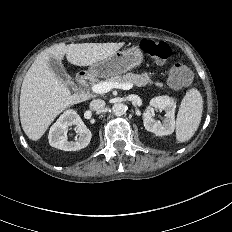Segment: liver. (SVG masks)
I'll return each mask as SVG.
<instances>
[{
	"label": "liver",
	"instance_id": "obj_1",
	"mask_svg": "<svg viewBox=\"0 0 232 232\" xmlns=\"http://www.w3.org/2000/svg\"><path fill=\"white\" fill-rule=\"evenodd\" d=\"M119 43L55 44L43 51L27 71L20 94V121L25 134L39 140L53 120L67 107L88 99L86 95H72L65 84L50 69L48 60L55 57L77 66H90L107 59L123 47Z\"/></svg>",
	"mask_w": 232,
	"mask_h": 232
}]
</instances>
